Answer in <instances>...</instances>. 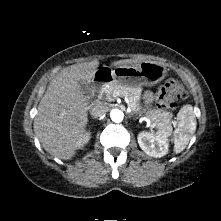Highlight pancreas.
<instances>
[{
	"label": "pancreas",
	"mask_w": 221,
	"mask_h": 221,
	"mask_svg": "<svg viewBox=\"0 0 221 221\" xmlns=\"http://www.w3.org/2000/svg\"><path fill=\"white\" fill-rule=\"evenodd\" d=\"M104 94L107 101L114 100L115 97H126L128 98V106L136 113H141L140 106V97L141 89L140 88H129L123 85H120L116 82L109 84L108 88H105ZM147 118L152 122L151 127L157 128L160 135L163 136L170 135L172 131V125L170 122L171 115L168 112L161 110H149L146 112Z\"/></svg>",
	"instance_id": "pancreas-1"
}]
</instances>
